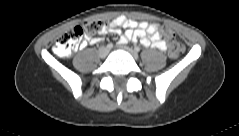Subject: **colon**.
Returning a JSON list of instances; mask_svg holds the SVG:
<instances>
[{
  "label": "colon",
  "instance_id": "1",
  "mask_svg": "<svg viewBox=\"0 0 239 136\" xmlns=\"http://www.w3.org/2000/svg\"><path fill=\"white\" fill-rule=\"evenodd\" d=\"M103 25L98 20H87L82 25L76 26L62 34L54 46V52L61 57L72 54L79 47L83 36L93 37L102 31ZM163 34L170 40L168 54L171 58H178L184 52V45L175 40L172 30L163 28Z\"/></svg>",
  "mask_w": 239,
  "mask_h": 136
}]
</instances>
